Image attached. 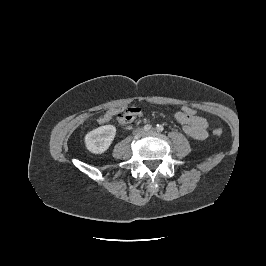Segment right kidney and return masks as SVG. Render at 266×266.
<instances>
[{"label":"right kidney","instance_id":"obj_1","mask_svg":"<svg viewBox=\"0 0 266 266\" xmlns=\"http://www.w3.org/2000/svg\"><path fill=\"white\" fill-rule=\"evenodd\" d=\"M115 135L116 128L113 125L100 126L86 134V147L94 154L104 153L110 147Z\"/></svg>","mask_w":266,"mask_h":266}]
</instances>
